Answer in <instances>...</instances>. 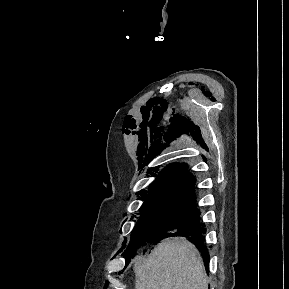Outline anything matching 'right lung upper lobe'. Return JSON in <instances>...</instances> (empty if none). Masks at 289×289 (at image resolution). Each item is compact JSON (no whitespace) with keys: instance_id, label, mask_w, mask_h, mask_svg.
<instances>
[{"instance_id":"1","label":"right lung upper lobe","mask_w":289,"mask_h":289,"mask_svg":"<svg viewBox=\"0 0 289 289\" xmlns=\"http://www.w3.org/2000/svg\"><path fill=\"white\" fill-rule=\"evenodd\" d=\"M152 174L158 178L148 190H144L141 194L144 199L158 196H195V178L186 171V164H170L157 172L159 175Z\"/></svg>"}]
</instances>
